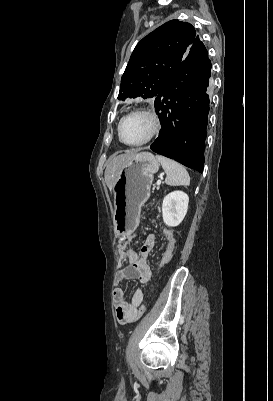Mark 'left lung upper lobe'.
I'll return each mask as SVG.
<instances>
[{
    "instance_id": "1",
    "label": "left lung upper lobe",
    "mask_w": 273,
    "mask_h": 401,
    "mask_svg": "<svg viewBox=\"0 0 273 401\" xmlns=\"http://www.w3.org/2000/svg\"><path fill=\"white\" fill-rule=\"evenodd\" d=\"M197 38L191 24L178 20H171L144 37L135 47L121 78L118 99L155 98Z\"/></svg>"
}]
</instances>
